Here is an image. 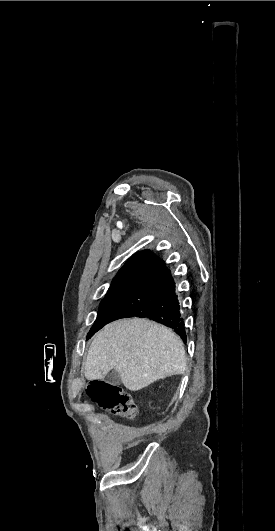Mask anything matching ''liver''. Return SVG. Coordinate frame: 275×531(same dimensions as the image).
<instances>
[{"instance_id": "6515ba94", "label": "liver", "mask_w": 275, "mask_h": 531, "mask_svg": "<svg viewBox=\"0 0 275 531\" xmlns=\"http://www.w3.org/2000/svg\"><path fill=\"white\" fill-rule=\"evenodd\" d=\"M115 369L129 391H140L158 379L183 375L184 345L171 329L147 319H121L95 335L88 351L84 375L103 379Z\"/></svg>"}]
</instances>
